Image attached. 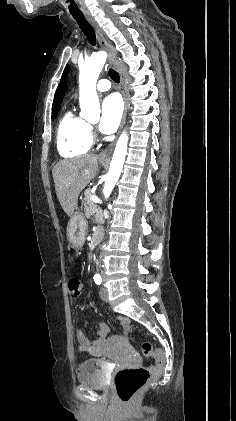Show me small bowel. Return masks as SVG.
Here are the masks:
<instances>
[{"mask_svg": "<svg viewBox=\"0 0 236 421\" xmlns=\"http://www.w3.org/2000/svg\"><path fill=\"white\" fill-rule=\"evenodd\" d=\"M100 331H105L107 333V327L105 325H100L99 332Z\"/></svg>", "mask_w": 236, "mask_h": 421, "instance_id": "small-bowel-1", "label": "small bowel"}]
</instances>
